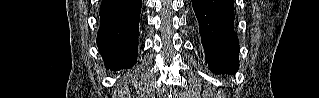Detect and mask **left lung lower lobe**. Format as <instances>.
<instances>
[{"label": "left lung lower lobe", "instance_id": "left-lung-lower-lobe-1", "mask_svg": "<svg viewBox=\"0 0 319 98\" xmlns=\"http://www.w3.org/2000/svg\"><path fill=\"white\" fill-rule=\"evenodd\" d=\"M204 56L214 73H235L239 45L234 31L233 0H192Z\"/></svg>", "mask_w": 319, "mask_h": 98}]
</instances>
